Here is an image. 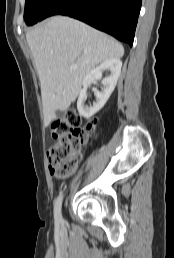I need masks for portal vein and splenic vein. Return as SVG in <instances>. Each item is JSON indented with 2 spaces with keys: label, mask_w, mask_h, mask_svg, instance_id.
<instances>
[{
  "label": "portal vein and splenic vein",
  "mask_w": 174,
  "mask_h": 258,
  "mask_svg": "<svg viewBox=\"0 0 174 258\" xmlns=\"http://www.w3.org/2000/svg\"><path fill=\"white\" fill-rule=\"evenodd\" d=\"M77 68V66L76 65H72V66H70V69L71 70H74V69H76Z\"/></svg>",
  "instance_id": "obj_1"
}]
</instances>
